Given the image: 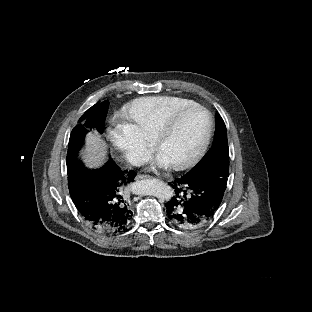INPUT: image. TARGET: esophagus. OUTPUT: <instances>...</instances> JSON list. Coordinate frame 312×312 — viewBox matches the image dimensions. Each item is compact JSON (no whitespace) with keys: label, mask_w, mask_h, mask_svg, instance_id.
Returning <instances> with one entry per match:
<instances>
[{"label":"esophagus","mask_w":312,"mask_h":312,"mask_svg":"<svg viewBox=\"0 0 312 312\" xmlns=\"http://www.w3.org/2000/svg\"><path fill=\"white\" fill-rule=\"evenodd\" d=\"M141 179H153V177L150 175H146V174H138L136 176V180H141Z\"/></svg>","instance_id":"34e87169"}]
</instances>
